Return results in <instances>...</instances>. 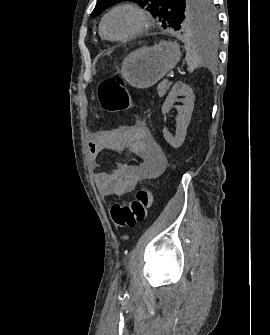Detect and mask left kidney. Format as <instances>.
Returning <instances> with one entry per match:
<instances>
[{"mask_svg":"<svg viewBox=\"0 0 270 335\" xmlns=\"http://www.w3.org/2000/svg\"><path fill=\"white\" fill-rule=\"evenodd\" d=\"M177 96H186V98L183 100L184 106H176L178 116L176 118L177 126L175 138L171 136L166 128L163 130V136L172 148H180V146H182L186 138V132L190 124L195 102L192 88L187 86V84H183V82H176L162 106V114H168L171 106H173L174 102H177Z\"/></svg>","mask_w":270,"mask_h":335,"instance_id":"left-kidney-1","label":"left kidney"}]
</instances>
